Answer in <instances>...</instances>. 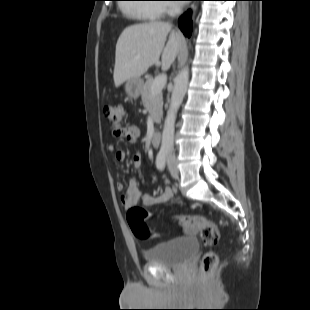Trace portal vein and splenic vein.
<instances>
[{
	"label": "portal vein and splenic vein",
	"instance_id": "portal-vein-and-splenic-vein-1",
	"mask_svg": "<svg viewBox=\"0 0 310 310\" xmlns=\"http://www.w3.org/2000/svg\"><path fill=\"white\" fill-rule=\"evenodd\" d=\"M166 76L165 75H159L157 76L154 81L153 84L151 86V93L154 95L158 92H161L162 89L164 88L165 84H166Z\"/></svg>",
	"mask_w": 310,
	"mask_h": 310
}]
</instances>
